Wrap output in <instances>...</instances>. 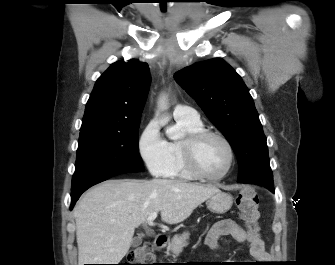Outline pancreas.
<instances>
[{
  "mask_svg": "<svg viewBox=\"0 0 335 265\" xmlns=\"http://www.w3.org/2000/svg\"><path fill=\"white\" fill-rule=\"evenodd\" d=\"M189 236V232H183L181 235H175L168 244L167 253L169 254V252H171L174 257L178 256L183 251V247L188 245L187 240L189 239Z\"/></svg>",
  "mask_w": 335,
  "mask_h": 265,
  "instance_id": "pancreas-1",
  "label": "pancreas"
}]
</instances>
